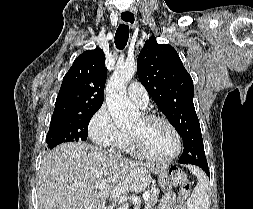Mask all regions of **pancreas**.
<instances>
[{
    "label": "pancreas",
    "instance_id": "1",
    "mask_svg": "<svg viewBox=\"0 0 253 209\" xmlns=\"http://www.w3.org/2000/svg\"><path fill=\"white\" fill-rule=\"evenodd\" d=\"M148 200L145 201V208L152 209V207L159 201V193L157 191H149Z\"/></svg>",
    "mask_w": 253,
    "mask_h": 209
}]
</instances>
